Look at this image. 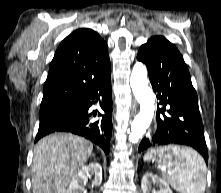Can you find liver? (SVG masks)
Wrapping results in <instances>:
<instances>
[{
  "instance_id": "1",
  "label": "liver",
  "mask_w": 221,
  "mask_h": 193,
  "mask_svg": "<svg viewBox=\"0 0 221 193\" xmlns=\"http://www.w3.org/2000/svg\"><path fill=\"white\" fill-rule=\"evenodd\" d=\"M90 141L68 133L41 139L34 148L33 193H66L70 180L91 156Z\"/></svg>"
}]
</instances>
